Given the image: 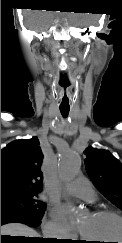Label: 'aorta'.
I'll return each instance as SVG.
<instances>
[{
    "label": "aorta",
    "mask_w": 122,
    "mask_h": 243,
    "mask_svg": "<svg viewBox=\"0 0 122 243\" xmlns=\"http://www.w3.org/2000/svg\"><path fill=\"white\" fill-rule=\"evenodd\" d=\"M81 161L77 154L66 152L62 154L58 161L57 173L59 178L66 182H72L80 172Z\"/></svg>",
    "instance_id": "1"
}]
</instances>
